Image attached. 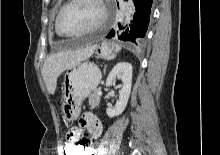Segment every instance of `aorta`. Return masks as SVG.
<instances>
[{"instance_id": "762f6f07", "label": "aorta", "mask_w": 220, "mask_h": 155, "mask_svg": "<svg viewBox=\"0 0 220 155\" xmlns=\"http://www.w3.org/2000/svg\"><path fill=\"white\" fill-rule=\"evenodd\" d=\"M130 4L132 5V4H133V1H130Z\"/></svg>"}]
</instances>
